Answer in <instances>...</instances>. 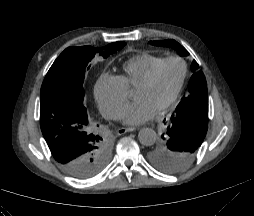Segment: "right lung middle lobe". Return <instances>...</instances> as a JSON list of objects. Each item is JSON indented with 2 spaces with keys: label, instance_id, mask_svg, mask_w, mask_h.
Wrapping results in <instances>:
<instances>
[{
  "label": "right lung middle lobe",
  "instance_id": "1",
  "mask_svg": "<svg viewBox=\"0 0 254 216\" xmlns=\"http://www.w3.org/2000/svg\"><path fill=\"white\" fill-rule=\"evenodd\" d=\"M124 46V42H115L102 48H93L91 46L68 47L49 69L43 81L40 96L62 93L83 103V82L85 73L90 68L91 60L96 57L107 58ZM92 133L100 142L98 160L101 170L110 157V145L108 140L99 134L97 128L92 127ZM78 169V166H76L73 171Z\"/></svg>",
  "mask_w": 254,
  "mask_h": 216
}]
</instances>
